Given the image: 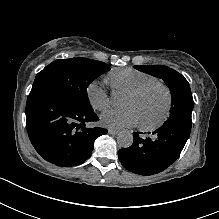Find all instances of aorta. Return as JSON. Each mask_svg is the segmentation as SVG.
<instances>
[{
    "label": "aorta",
    "instance_id": "obj_1",
    "mask_svg": "<svg viewBox=\"0 0 219 219\" xmlns=\"http://www.w3.org/2000/svg\"><path fill=\"white\" fill-rule=\"evenodd\" d=\"M113 106H119L121 104V98L118 95L112 96ZM117 143L122 148H128L133 143V135L130 131L123 130L117 136Z\"/></svg>",
    "mask_w": 219,
    "mask_h": 219
}]
</instances>
